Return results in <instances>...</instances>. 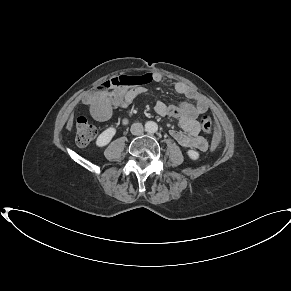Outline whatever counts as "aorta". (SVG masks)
<instances>
[{
    "mask_svg": "<svg viewBox=\"0 0 291 291\" xmlns=\"http://www.w3.org/2000/svg\"><path fill=\"white\" fill-rule=\"evenodd\" d=\"M146 130L150 133H155L158 130V125L153 121H149L146 123Z\"/></svg>",
    "mask_w": 291,
    "mask_h": 291,
    "instance_id": "762f6f07",
    "label": "aorta"
}]
</instances>
